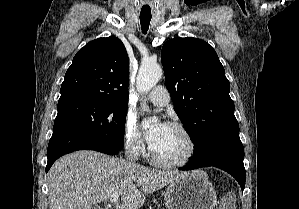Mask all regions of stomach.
Listing matches in <instances>:
<instances>
[{"instance_id":"0dacf381","label":"stomach","mask_w":299,"mask_h":209,"mask_svg":"<svg viewBox=\"0 0 299 209\" xmlns=\"http://www.w3.org/2000/svg\"><path fill=\"white\" fill-rule=\"evenodd\" d=\"M167 209H215L217 195L203 171L187 173L164 192Z\"/></svg>"}]
</instances>
